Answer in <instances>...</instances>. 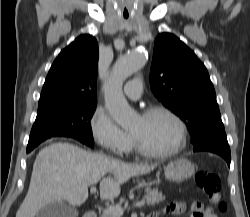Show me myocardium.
I'll use <instances>...</instances> for the list:
<instances>
[{"label": "myocardium", "mask_w": 250, "mask_h": 217, "mask_svg": "<svg viewBox=\"0 0 250 217\" xmlns=\"http://www.w3.org/2000/svg\"><path fill=\"white\" fill-rule=\"evenodd\" d=\"M155 113H163L169 116L177 125L179 130V139L178 143L174 148L164 152H157L147 148L136 135L131 133L134 145L136 150L147 157L155 158V159H164L172 157L178 154L183 148L186 146L187 143V126L185 122L181 119V117L175 113L172 109L164 106V105H152L147 107L141 114L142 117H148Z\"/></svg>", "instance_id": "myocardium-1"}]
</instances>
